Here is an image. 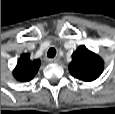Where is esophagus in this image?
<instances>
[{
    "instance_id": "esophagus-1",
    "label": "esophagus",
    "mask_w": 115,
    "mask_h": 114,
    "mask_svg": "<svg viewBox=\"0 0 115 114\" xmlns=\"http://www.w3.org/2000/svg\"><path fill=\"white\" fill-rule=\"evenodd\" d=\"M50 63H58L60 61L59 57L51 58L48 60Z\"/></svg>"
}]
</instances>
